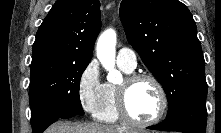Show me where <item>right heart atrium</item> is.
Wrapping results in <instances>:
<instances>
[{
    "label": "right heart atrium",
    "instance_id": "d8ad5b80",
    "mask_svg": "<svg viewBox=\"0 0 221 133\" xmlns=\"http://www.w3.org/2000/svg\"><path fill=\"white\" fill-rule=\"evenodd\" d=\"M103 88L99 65L96 60H92L80 73L77 87L79 102L87 113L95 114L102 99Z\"/></svg>",
    "mask_w": 221,
    "mask_h": 133
}]
</instances>
